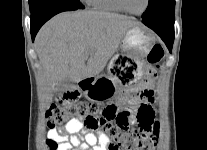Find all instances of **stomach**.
Listing matches in <instances>:
<instances>
[{
  "mask_svg": "<svg viewBox=\"0 0 207 150\" xmlns=\"http://www.w3.org/2000/svg\"><path fill=\"white\" fill-rule=\"evenodd\" d=\"M154 44L153 35L141 25L126 31L122 38L121 53H116L109 65V75L95 78L85 95L92 100H105L118 95L123 85L139 84L147 76L144 58Z\"/></svg>",
  "mask_w": 207,
  "mask_h": 150,
  "instance_id": "stomach-1",
  "label": "stomach"
}]
</instances>
